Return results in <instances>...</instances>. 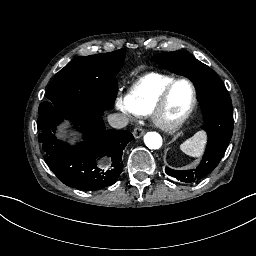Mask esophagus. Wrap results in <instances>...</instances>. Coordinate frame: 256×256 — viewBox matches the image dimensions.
Returning <instances> with one entry per match:
<instances>
[{
	"instance_id": "obj_1",
	"label": "esophagus",
	"mask_w": 256,
	"mask_h": 256,
	"mask_svg": "<svg viewBox=\"0 0 256 256\" xmlns=\"http://www.w3.org/2000/svg\"><path fill=\"white\" fill-rule=\"evenodd\" d=\"M144 133H145V131L141 127H136L133 130V135L135 138H140L141 136L144 135Z\"/></svg>"
}]
</instances>
